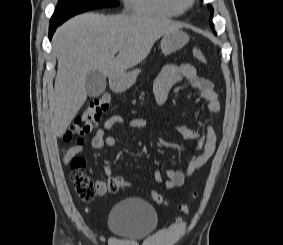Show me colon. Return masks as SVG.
I'll use <instances>...</instances> for the list:
<instances>
[{"instance_id": "obj_1", "label": "colon", "mask_w": 283, "mask_h": 245, "mask_svg": "<svg viewBox=\"0 0 283 245\" xmlns=\"http://www.w3.org/2000/svg\"><path fill=\"white\" fill-rule=\"evenodd\" d=\"M193 56L201 63H206V57L202 50L194 47L192 50ZM111 99L105 95L91 101L82 111H80L73 119V122L64 136L66 142L75 141L78 145L82 143V137L99 123L103 114L110 109ZM85 160L81 157H76L71 160L70 168L71 180L73 188L78 197L83 201H91L95 196L96 183L84 172ZM127 185V182L118 176H113L108 179L107 188L109 193H116ZM152 200L157 204H165L163 196L156 192H151ZM179 210L183 213H188L190 210L189 204L179 206Z\"/></svg>"}]
</instances>
